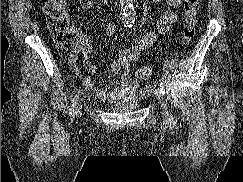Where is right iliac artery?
<instances>
[{
  "label": "right iliac artery",
  "instance_id": "obj_1",
  "mask_svg": "<svg viewBox=\"0 0 243 182\" xmlns=\"http://www.w3.org/2000/svg\"><path fill=\"white\" fill-rule=\"evenodd\" d=\"M125 27H129V24H124ZM78 99H79V94H76L74 96V98L72 99V106H71V109H70V116H71V121L74 120V116L75 114L77 113V102H78Z\"/></svg>",
  "mask_w": 243,
  "mask_h": 182
}]
</instances>
